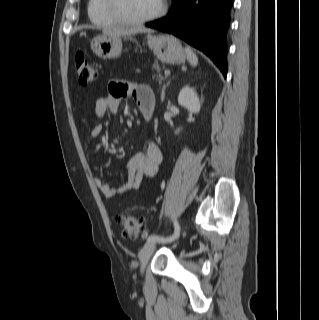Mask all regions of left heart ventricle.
<instances>
[{"label":"left heart ventricle","mask_w":319,"mask_h":320,"mask_svg":"<svg viewBox=\"0 0 319 320\" xmlns=\"http://www.w3.org/2000/svg\"><path fill=\"white\" fill-rule=\"evenodd\" d=\"M120 11L131 18H142L156 12L161 0H118Z\"/></svg>","instance_id":"b2bd125f"}]
</instances>
